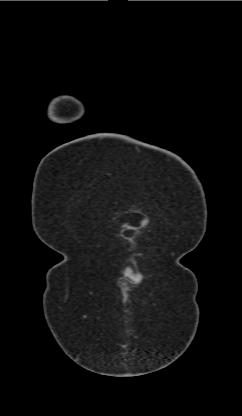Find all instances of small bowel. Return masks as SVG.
I'll use <instances>...</instances> for the list:
<instances>
[{"label":"small bowel","mask_w":242,"mask_h":416,"mask_svg":"<svg viewBox=\"0 0 242 416\" xmlns=\"http://www.w3.org/2000/svg\"><path fill=\"white\" fill-rule=\"evenodd\" d=\"M127 274H128V275H132V273H131V271H130V270H127Z\"/></svg>","instance_id":"small-bowel-1"}]
</instances>
